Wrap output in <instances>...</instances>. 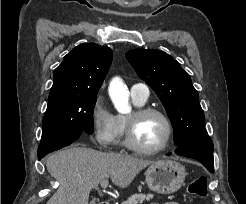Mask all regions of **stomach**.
I'll list each match as a JSON object with an SVG mask.
<instances>
[{
  "instance_id": "0dacf381",
  "label": "stomach",
  "mask_w": 246,
  "mask_h": 204,
  "mask_svg": "<svg viewBox=\"0 0 246 204\" xmlns=\"http://www.w3.org/2000/svg\"><path fill=\"white\" fill-rule=\"evenodd\" d=\"M145 176L151 191L172 194L183 185L186 171L183 165L174 160H160L148 167Z\"/></svg>"
}]
</instances>
